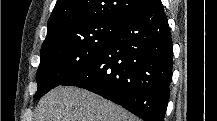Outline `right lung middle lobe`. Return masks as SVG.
I'll use <instances>...</instances> for the list:
<instances>
[{
    "mask_svg": "<svg viewBox=\"0 0 217 121\" xmlns=\"http://www.w3.org/2000/svg\"><path fill=\"white\" fill-rule=\"evenodd\" d=\"M122 23L106 20L81 24L43 45L34 99L95 61Z\"/></svg>",
    "mask_w": 217,
    "mask_h": 121,
    "instance_id": "1",
    "label": "right lung middle lobe"
}]
</instances>
